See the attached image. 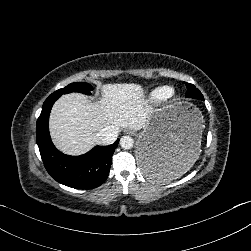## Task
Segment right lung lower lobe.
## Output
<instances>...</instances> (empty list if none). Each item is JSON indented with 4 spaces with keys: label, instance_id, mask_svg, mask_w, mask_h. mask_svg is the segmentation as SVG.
Here are the masks:
<instances>
[{
    "label": "right lung lower lobe",
    "instance_id": "right-lung-lower-lobe-1",
    "mask_svg": "<svg viewBox=\"0 0 251 251\" xmlns=\"http://www.w3.org/2000/svg\"><path fill=\"white\" fill-rule=\"evenodd\" d=\"M58 96L43 104L36 124V140L48 173L59 183L75 189H93L105 182L119 139L109 146H96L81 156L62 154L53 145L48 129L49 114Z\"/></svg>",
    "mask_w": 251,
    "mask_h": 251
}]
</instances>
